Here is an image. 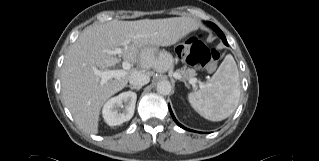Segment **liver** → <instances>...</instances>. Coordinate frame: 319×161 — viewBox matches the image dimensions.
Wrapping results in <instances>:
<instances>
[{
    "mask_svg": "<svg viewBox=\"0 0 319 161\" xmlns=\"http://www.w3.org/2000/svg\"><path fill=\"white\" fill-rule=\"evenodd\" d=\"M197 29L198 21L190 17L113 20L85 28L69 48L61 73L63 101L78 126L87 133L97 134L103 104L122 90L130 75L137 71L133 69L121 78L102 83L94 68L103 71L119 63L112 50L124 46L121 54L124 61H139L142 68L153 66L161 72L154 62L141 57L143 48L173 45Z\"/></svg>",
    "mask_w": 319,
    "mask_h": 161,
    "instance_id": "6515ba94",
    "label": "liver"
}]
</instances>
